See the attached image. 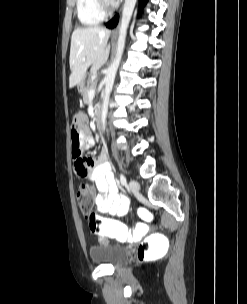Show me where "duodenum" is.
Segmentation results:
<instances>
[{
    "label": "duodenum",
    "mask_w": 247,
    "mask_h": 304,
    "mask_svg": "<svg viewBox=\"0 0 247 304\" xmlns=\"http://www.w3.org/2000/svg\"><path fill=\"white\" fill-rule=\"evenodd\" d=\"M85 82H89V79H84V81L82 80V81H80V86H85ZM101 116H102V114H101V110L100 109H97L96 110V112H95V121H96V123H100L101 122ZM98 129H101V126H98Z\"/></svg>",
    "instance_id": "1"
}]
</instances>
